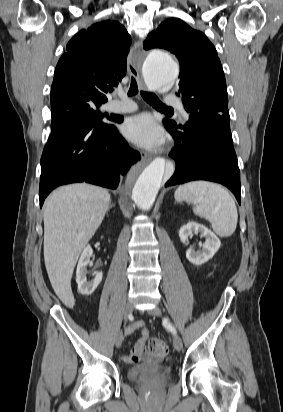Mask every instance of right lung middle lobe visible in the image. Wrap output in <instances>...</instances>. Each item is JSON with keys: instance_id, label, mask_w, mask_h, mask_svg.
<instances>
[{"instance_id": "dd1d6c3e", "label": "right lung middle lobe", "mask_w": 283, "mask_h": 412, "mask_svg": "<svg viewBox=\"0 0 283 412\" xmlns=\"http://www.w3.org/2000/svg\"><path fill=\"white\" fill-rule=\"evenodd\" d=\"M102 103L82 101L73 104L66 111L52 115L51 130L59 128L74 129L84 121L95 124H107L113 119V115L103 114L99 108Z\"/></svg>"}]
</instances>
